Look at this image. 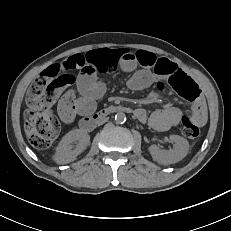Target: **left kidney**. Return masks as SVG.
I'll return each mask as SVG.
<instances>
[{"label": "left kidney", "mask_w": 231, "mask_h": 231, "mask_svg": "<svg viewBox=\"0 0 231 231\" xmlns=\"http://www.w3.org/2000/svg\"><path fill=\"white\" fill-rule=\"evenodd\" d=\"M170 139L174 142V148L169 150H161L156 145L149 147L152 158L163 165L179 162L186 157L189 151V142L178 135H170Z\"/></svg>", "instance_id": "1"}]
</instances>
